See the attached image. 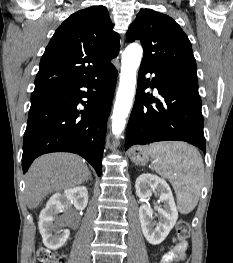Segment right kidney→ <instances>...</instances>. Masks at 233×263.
<instances>
[{"instance_id":"ca27d5eb","label":"right kidney","mask_w":233,"mask_h":263,"mask_svg":"<svg viewBox=\"0 0 233 263\" xmlns=\"http://www.w3.org/2000/svg\"><path fill=\"white\" fill-rule=\"evenodd\" d=\"M88 203V190L84 186L66 189L63 194L56 193L48 200L46 207L39 215V231L44 245L51 249L61 248L69 238L68 229L61 230L64 222L57 218V214L64 208L73 204L75 209L84 210Z\"/></svg>"}]
</instances>
